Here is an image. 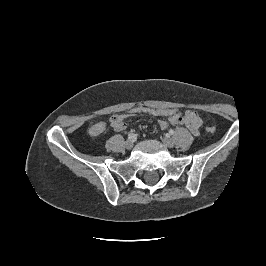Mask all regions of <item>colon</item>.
<instances>
[{
  "label": "colon",
  "mask_w": 266,
  "mask_h": 266,
  "mask_svg": "<svg viewBox=\"0 0 266 266\" xmlns=\"http://www.w3.org/2000/svg\"><path fill=\"white\" fill-rule=\"evenodd\" d=\"M176 113H178V110L176 108L150 107V106L137 105L131 108L126 114H123V116L125 118L136 117L140 115H150L153 117H170ZM113 117H115V115H113L111 119ZM206 129L210 133H213L216 130L214 126H208Z\"/></svg>",
  "instance_id": "1"
}]
</instances>
